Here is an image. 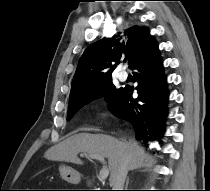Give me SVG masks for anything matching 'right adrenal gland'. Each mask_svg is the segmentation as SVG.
<instances>
[{"label": "right adrenal gland", "instance_id": "1", "mask_svg": "<svg viewBox=\"0 0 210 191\" xmlns=\"http://www.w3.org/2000/svg\"><path fill=\"white\" fill-rule=\"evenodd\" d=\"M128 184H129V177L126 180V190H127Z\"/></svg>", "mask_w": 210, "mask_h": 191}]
</instances>
